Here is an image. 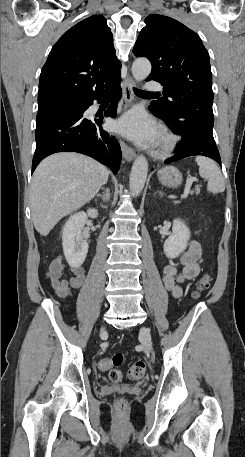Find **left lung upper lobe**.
I'll return each mask as SVG.
<instances>
[{"instance_id":"obj_1","label":"left lung upper lobe","mask_w":245,"mask_h":457,"mask_svg":"<svg viewBox=\"0 0 245 457\" xmlns=\"http://www.w3.org/2000/svg\"><path fill=\"white\" fill-rule=\"evenodd\" d=\"M145 23L133 53L151 61L147 81L164 86L165 97L153 102L158 112L166 118L180 112H213L209 55L199 36L168 16L149 15Z\"/></svg>"}]
</instances>
